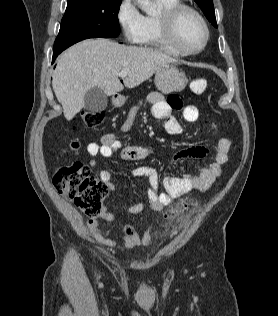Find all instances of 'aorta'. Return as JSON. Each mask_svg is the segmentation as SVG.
<instances>
[{
	"mask_svg": "<svg viewBox=\"0 0 278 316\" xmlns=\"http://www.w3.org/2000/svg\"><path fill=\"white\" fill-rule=\"evenodd\" d=\"M138 6L142 11L148 15H155L158 12L157 6L152 2V0H136Z\"/></svg>",
	"mask_w": 278,
	"mask_h": 316,
	"instance_id": "762f6f07",
	"label": "aorta"
}]
</instances>
